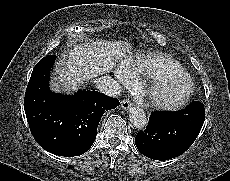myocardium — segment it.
<instances>
[{"instance_id": "f54148a6", "label": "myocardium", "mask_w": 230, "mask_h": 181, "mask_svg": "<svg viewBox=\"0 0 230 181\" xmlns=\"http://www.w3.org/2000/svg\"><path fill=\"white\" fill-rule=\"evenodd\" d=\"M176 81H183L184 90L177 96L166 95L165 92ZM150 105L158 110L173 111L184 106L194 92V82L185 71L159 75L142 87Z\"/></svg>"}]
</instances>
